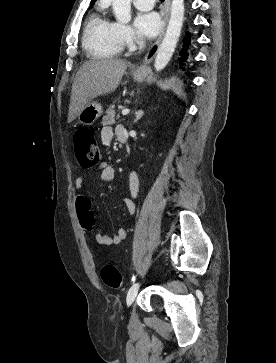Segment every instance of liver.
I'll return each instance as SVG.
<instances>
[{"instance_id":"liver-1","label":"liver","mask_w":276,"mask_h":363,"mask_svg":"<svg viewBox=\"0 0 276 363\" xmlns=\"http://www.w3.org/2000/svg\"><path fill=\"white\" fill-rule=\"evenodd\" d=\"M130 64L119 59H101L85 62L72 84L68 123L98 96L113 92L120 84Z\"/></svg>"}]
</instances>
